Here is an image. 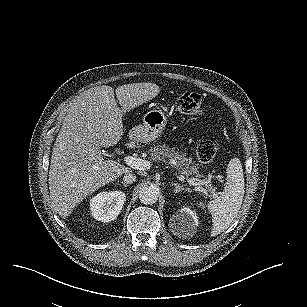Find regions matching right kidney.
<instances>
[{"label": "right kidney", "mask_w": 307, "mask_h": 307, "mask_svg": "<svg viewBox=\"0 0 307 307\" xmlns=\"http://www.w3.org/2000/svg\"><path fill=\"white\" fill-rule=\"evenodd\" d=\"M126 202V194L120 190L101 191L89 201L90 215L96 221L110 222L117 218Z\"/></svg>", "instance_id": "right-kidney-1"}]
</instances>
